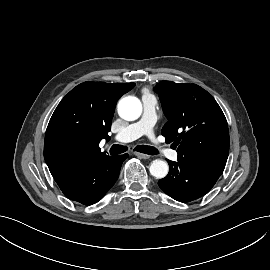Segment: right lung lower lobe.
Instances as JSON below:
<instances>
[{"label": "right lung lower lobe", "instance_id": "right-lung-lower-lobe-1", "mask_svg": "<svg viewBox=\"0 0 270 270\" xmlns=\"http://www.w3.org/2000/svg\"><path fill=\"white\" fill-rule=\"evenodd\" d=\"M128 154L104 156L85 166L58 174L54 179L71 200L84 205L97 203L118 179Z\"/></svg>", "mask_w": 270, "mask_h": 270}]
</instances>
